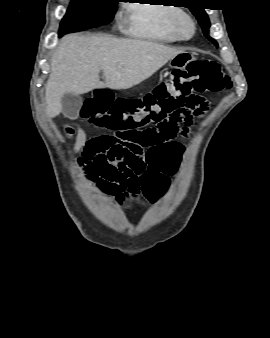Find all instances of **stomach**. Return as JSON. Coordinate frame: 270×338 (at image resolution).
Here are the masks:
<instances>
[{
  "label": "stomach",
  "instance_id": "stomach-1",
  "mask_svg": "<svg viewBox=\"0 0 270 338\" xmlns=\"http://www.w3.org/2000/svg\"><path fill=\"white\" fill-rule=\"evenodd\" d=\"M194 59L193 54L189 52H182L169 61V66L173 69L182 70L189 62Z\"/></svg>",
  "mask_w": 270,
  "mask_h": 338
}]
</instances>
